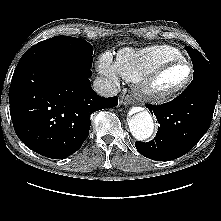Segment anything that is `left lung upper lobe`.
<instances>
[{
    "label": "left lung upper lobe",
    "mask_w": 221,
    "mask_h": 221,
    "mask_svg": "<svg viewBox=\"0 0 221 221\" xmlns=\"http://www.w3.org/2000/svg\"><path fill=\"white\" fill-rule=\"evenodd\" d=\"M186 50L188 51L191 59H192V64L194 67V75L193 77H197L200 75L208 74L211 72H214V69L210 63L208 62L200 52L197 50L191 48V47H186Z\"/></svg>",
    "instance_id": "left-lung-upper-lobe-1"
}]
</instances>
